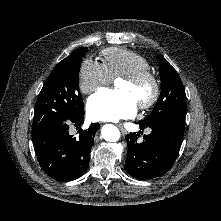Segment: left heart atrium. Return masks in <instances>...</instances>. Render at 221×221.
<instances>
[{
	"label": "left heart atrium",
	"instance_id": "1",
	"mask_svg": "<svg viewBox=\"0 0 221 221\" xmlns=\"http://www.w3.org/2000/svg\"><path fill=\"white\" fill-rule=\"evenodd\" d=\"M137 111L133 96L118 89H103L87 101V114L94 121H117L132 117Z\"/></svg>",
	"mask_w": 221,
	"mask_h": 221
}]
</instances>
